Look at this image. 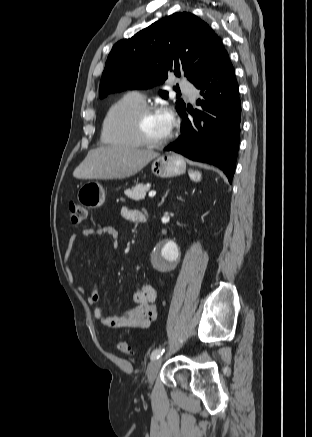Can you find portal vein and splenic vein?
I'll list each match as a JSON object with an SVG mask.
<instances>
[{
  "label": "portal vein and splenic vein",
  "instance_id": "1",
  "mask_svg": "<svg viewBox=\"0 0 312 437\" xmlns=\"http://www.w3.org/2000/svg\"><path fill=\"white\" fill-rule=\"evenodd\" d=\"M156 195V192L155 191H151V192H149V197H154Z\"/></svg>",
  "mask_w": 312,
  "mask_h": 437
}]
</instances>
